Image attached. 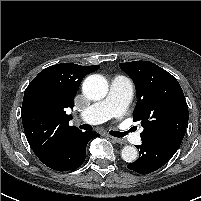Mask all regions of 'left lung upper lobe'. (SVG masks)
I'll list each match as a JSON object with an SVG mask.
<instances>
[{
  "label": "left lung upper lobe",
  "mask_w": 201,
  "mask_h": 201,
  "mask_svg": "<svg viewBox=\"0 0 201 201\" xmlns=\"http://www.w3.org/2000/svg\"><path fill=\"white\" fill-rule=\"evenodd\" d=\"M134 81L137 104L133 120L144 127L141 139L165 136L184 138L189 113L177 79L150 61L120 63Z\"/></svg>",
  "instance_id": "5c2ea615"
}]
</instances>
